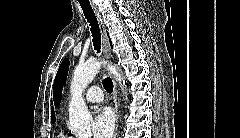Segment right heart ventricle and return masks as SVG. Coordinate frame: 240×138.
<instances>
[{
  "label": "right heart ventricle",
  "instance_id": "right-heart-ventricle-1",
  "mask_svg": "<svg viewBox=\"0 0 240 138\" xmlns=\"http://www.w3.org/2000/svg\"><path fill=\"white\" fill-rule=\"evenodd\" d=\"M58 138H72L71 136H68L67 134L65 133H60Z\"/></svg>",
  "mask_w": 240,
  "mask_h": 138
}]
</instances>
